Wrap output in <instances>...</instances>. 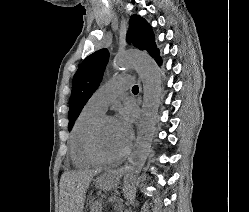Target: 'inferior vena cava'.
Returning a JSON list of instances; mask_svg holds the SVG:
<instances>
[{"instance_id": "1", "label": "inferior vena cava", "mask_w": 249, "mask_h": 212, "mask_svg": "<svg viewBox=\"0 0 249 212\" xmlns=\"http://www.w3.org/2000/svg\"><path fill=\"white\" fill-rule=\"evenodd\" d=\"M125 178H127V172H125L124 180H125Z\"/></svg>"}]
</instances>
